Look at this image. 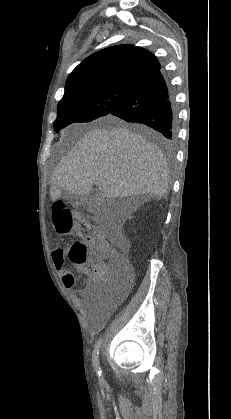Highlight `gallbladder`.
Instances as JSON below:
<instances>
[{"instance_id":"gallbladder-1","label":"gallbladder","mask_w":231,"mask_h":419,"mask_svg":"<svg viewBox=\"0 0 231 419\" xmlns=\"http://www.w3.org/2000/svg\"><path fill=\"white\" fill-rule=\"evenodd\" d=\"M98 189H93L88 195L85 197L72 195L70 193H66L64 198L72 203L74 206L82 207L87 205L88 203H95L98 198Z\"/></svg>"}]
</instances>
